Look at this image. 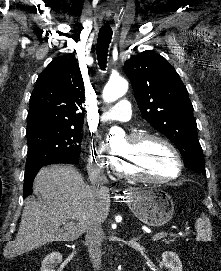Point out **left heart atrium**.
<instances>
[{
	"label": "left heart atrium",
	"mask_w": 221,
	"mask_h": 271,
	"mask_svg": "<svg viewBox=\"0 0 221 271\" xmlns=\"http://www.w3.org/2000/svg\"><path fill=\"white\" fill-rule=\"evenodd\" d=\"M105 150H109L113 157H134V152H126L125 148H112V145H105Z\"/></svg>",
	"instance_id": "39dd6f15"
}]
</instances>
